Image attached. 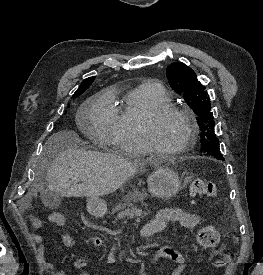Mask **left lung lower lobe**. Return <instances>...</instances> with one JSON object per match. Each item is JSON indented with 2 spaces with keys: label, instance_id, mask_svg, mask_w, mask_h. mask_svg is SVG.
I'll use <instances>...</instances> for the list:
<instances>
[{
  "label": "left lung lower lobe",
  "instance_id": "1",
  "mask_svg": "<svg viewBox=\"0 0 263 275\" xmlns=\"http://www.w3.org/2000/svg\"><path fill=\"white\" fill-rule=\"evenodd\" d=\"M215 158H216V157H215ZM217 159H219V160H224L223 156L218 157Z\"/></svg>",
  "mask_w": 263,
  "mask_h": 275
}]
</instances>
